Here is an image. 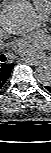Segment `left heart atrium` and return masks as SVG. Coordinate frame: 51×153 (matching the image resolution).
<instances>
[{"instance_id":"39dd6f15","label":"left heart atrium","mask_w":51,"mask_h":153,"mask_svg":"<svg viewBox=\"0 0 51 153\" xmlns=\"http://www.w3.org/2000/svg\"><path fill=\"white\" fill-rule=\"evenodd\" d=\"M49 38L44 34H36L26 38L15 40L12 48L16 53L27 59L39 58L43 49L48 47Z\"/></svg>"}]
</instances>
